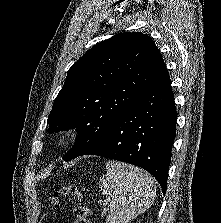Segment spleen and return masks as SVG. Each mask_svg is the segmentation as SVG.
I'll list each match as a JSON object with an SVG mask.
<instances>
[{
  "mask_svg": "<svg viewBox=\"0 0 221 223\" xmlns=\"http://www.w3.org/2000/svg\"><path fill=\"white\" fill-rule=\"evenodd\" d=\"M100 182L99 188L109 196L110 202L106 223H128L150 208L155 200L152 176L129 164L108 161L106 175Z\"/></svg>",
  "mask_w": 221,
  "mask_h": 223,
  "instance_id": "3e777b00",
  "label": "spleen"
}]
</instances>
